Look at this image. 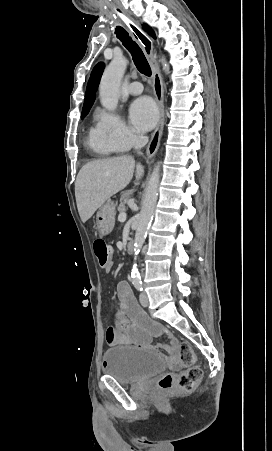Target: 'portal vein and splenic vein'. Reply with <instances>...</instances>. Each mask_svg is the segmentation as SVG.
Listing matches in <instances>:
<instances>
[{"label": "portal vein and splenic vein", "instance_id": "18ae733b", "mask_svg": "<svg viewBox=\"0 0 272 451\" xmlns=\"http://www.w3.org/2000/svg\"><path fill=\"white\" fill-rule=\"evenodd\" d=\"M118 220H119V222H125V220H126L125 212H122V214H119Z\"/></svg>", "mask_w": 272, "mask_h": 451}]
</instances>
